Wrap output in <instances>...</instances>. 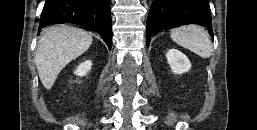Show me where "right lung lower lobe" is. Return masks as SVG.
<instances>
[{
	"label": "right lung lower lobe",
	"mask_w": 257,
	"mask_h": 130,
	"mask_svg": "<svg viewBox=\"0 0 257 130\" xmlns=\"http://www.w3.org/2000/svg\"><path fill=\"white\" fill-rule=\"evenodd\" d=\"M76 24L97 32L112 47L110 0H46L39 29L55 24Z\"/></svg>",
	"instance_id": "right-lung-lower-lobe-1"
}]
</instances>
